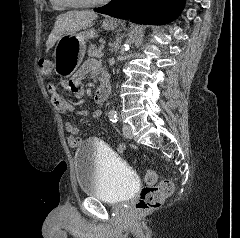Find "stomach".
Returning <instances> with one entry per match:
<instances>
[{
	"label": "stomach",
	"instance_id": "stomach-1",
	"mask_svg": "<svg viewBox=\"0 0 240 238\" xmlns=\"http://www.w3.org/2000/svg\"><path fill=\"white\" fill-rule=\"evenodd\" d=\"M118 21L106 20L103 27L106 30H114ZM96 36L94 30L61 36L54 50V70L61 77H69L81 64L86 51V40Z\"/></svg>",
	"mask_w": 240,
	"mask_h": 238
}]
</instances>
